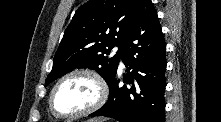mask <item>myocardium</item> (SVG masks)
Segmentation results:
<instances>
[{
  "label": "myocardium",
  "instance_id": "f54148a6",
  "mask_svg": "<svg viewBox=\"0 0 221 122\" xmlns=\"http://www.w3.org/2000/svg\"><path fill=\"white\" fill-rule=\"evenodd\" d=\"M75 76H86V77L91 78L95 82L97 89H98L97 98L93 104H91L89 107H87L84 110H81L76 113H61L56 109L54 105L55 92L63 82ZM108 94H109V89H108L107 82L102 77V75L99 74L97 71L93 69H89V68L74 69V70L67 72L63 76H61L53 85L50 95H49V107H50L51 112L57 117L79 118V117L89 115L97 111L99 108H101L107 101Z\"/></svg>",
  "mask_w": 221,
  "mask_h": 122
}]
</instances>
